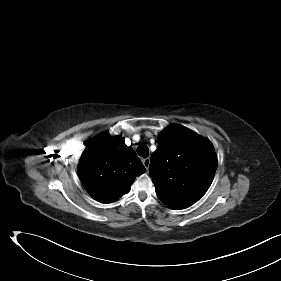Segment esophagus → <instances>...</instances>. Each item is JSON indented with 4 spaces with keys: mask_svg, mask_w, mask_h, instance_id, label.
<instances>
[{
    "mask_svg": "<svg viewBox=\"0 0 281 281\" xmlns=\"http://www.w3.org/2000/svg\"><path fill=\"white\" fill-rule=\"evenodd\" d=\"M143 165L145 166V168L148 170L149 166H150V158H145L142 160Z\"/></svg>",
    "mask_w": 281,
    "mask_h": 281,
    "instance_id": "obj_1",
    "label": "esophagus"
}]
</instances>
